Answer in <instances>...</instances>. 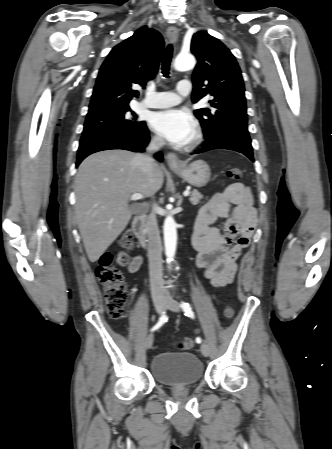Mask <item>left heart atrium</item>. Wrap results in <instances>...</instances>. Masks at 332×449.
Returning a JSON list of instances; mask_svg holds the SVG:
<instances>
[{
	"label": "left heart atrium",
	"mask_w": 332,
	"mask_h": 449,
	"mask_svg": "<svg viewBox=\"0 0 332 449\" xmlns=\"http://www.w3.org/2000/svg\"><path fill=\"white\" fill-rule=\"evenodd\" d=\"M151 127L160 136L176 145L187 144L195 133L193 118L187 112L178 109L154 113Z\"/></svg>",
	"instance_id": "39dd6f15"
}]
</instances>
